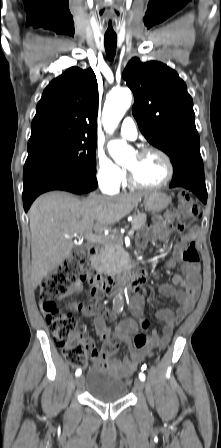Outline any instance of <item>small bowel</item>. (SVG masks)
<instances>
[{"label":"small bowel","instance_id":"c3829d8e","mask_svg":"<svg viewBox=\"0 0 221 448\" xmlns=\"http://www.w3.org/2000/svg\"><path fill=\"white\" fill-rule=\"evenodd\" d=\"M177 218L178 215L173 211H168L163 219L154 218L149 229V235L139 239L138 244L145 246L148 241L154 243L167 242L173 223ZM192 234L188 233L181 238L175 247L173 256L165 265L166 267H171L179 264L183 274L175 275L172 278V283H164L159 287V291L164 296L172 298L178 303V308L176 312L166 308L157 312V319L164 322L162 334L159 335L155 329H152L147 336L146 344L142 348H136L131 340L132 334L149 328V322L144 316L145 298L142 292L135 294L130 303L131 313L138 321L125 319L117 325L114 333L107 327L104 320L106 317L114 316L109 307L98 303L83 305L74 300L68 301L69 307L81 311L85 317L94 318L95 332L104 344L101 351L94 348L90 349L91 357L97 367H106L116 375L128 378L136 371L139 364L153 354L154 349H164L168 345L175 324L193 309L201 285L199 265L187 263L183 259V250L191 242ZM79 290L80 287H76L71 293ZM90 293L95 298L101 297L97 282L93 283ZM144 322L148 323L147 328L144 327ZM121 344L127 347L128 353L123 359L119 360L114 355Z\"/></svg>","mask_w":221,"mask_h":448}]
</instances>
